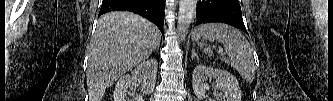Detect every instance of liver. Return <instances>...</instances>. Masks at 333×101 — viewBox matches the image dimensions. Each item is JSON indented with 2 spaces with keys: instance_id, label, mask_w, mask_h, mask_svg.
I'll use <instances>...</instances> for the list:
<instances>
[{
  "instance_id": "1",
  "label": "liver",
  "mask_w": 333,
  "mask_h": 101,
  "mask_svg": "<svg viewBox=\"0 0 333 101\" xmlns=\"http://www.w3.org/2000/svg\"><path fill=\"white\" fill-rule=\"evenodd\" d=\"M160 40L158 28L134 13L115 11L100 17L89 49V101H101L106 89L147 59Z\"/></svg>"
}]
</instances>
